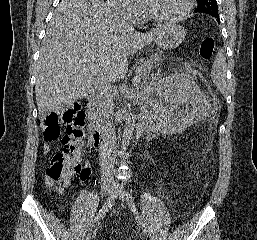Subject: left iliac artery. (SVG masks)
Segmentation results:
<instances>
[{
    "label": "left iliac artery",
    "instance_id": "obj_1",
    "mask_svg": "<svg viewBox=\"0 0 257 240\" xmlns=\"http://www.w3.org/2000/svg\"><path fill=\"white\" fill-rule=\"evenodd\" d=\"M126 196H127V203L129 205V208L134 213V216L136 218L137 223L141 226V228L143 229V232L146 233L145 224H144L143 219H142V217L140 216V214L137 210V207L135 205V202H134V199H133L132 195L127 192Z\"/></svg>",
    "mask_w": 257,
    "mask_h": 240
}]
</instances>
